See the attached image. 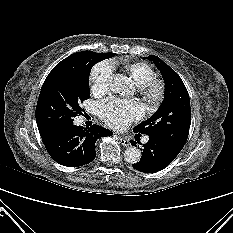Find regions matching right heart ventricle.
Listing matches in <instances>:
<instances>
[{
  "label": "right heart ventricle",
  "mask_w": 233,
  "mask_h": 233,
  "mask_svg": "<svg viewBox=\"0 0 233 233\" xmlns=\"http://www.w3.org/2000/svg\"><path fill=\"white\" fill-rule=\"evenodd\" d=\"M126 71L138 84H144L147 81L153 79V69L144 62H133L125 66Z\"/></svg>",
  "instance_id": "right-heart-ventricle-1"
}]
</instances>
